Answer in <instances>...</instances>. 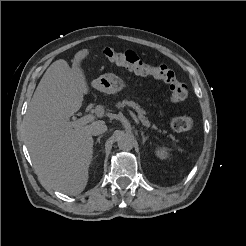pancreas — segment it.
Here are the masks:
<instances>
[{"instance_id":"pancreas-1","label":"pancreas","mask_w":246,"mask_h":246,"mask_svg":"<svg viewBox=\"0 0 246 246\" xmlns=\"http://www.w3.org/2000/svg\"><path fill=\"white\" fill-rule=\"evenodd\" d=\"M124 106H129V107L134 108L136 110V112L138 113L140 121L143 123V125L146 127L150 126V122L144 116L145 111L137 103H135L133 101H129V100H123L122 102H118L116 104L117 108H122ZM152 128L156 129L155 126H152Z\"/></svg>"}]
</instances>
